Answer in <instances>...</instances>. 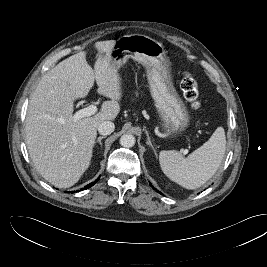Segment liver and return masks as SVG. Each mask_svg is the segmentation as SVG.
Returning <instances> with one entry per match:
<instances>
[{
    "mask_svg": "<svg viewBox=\"0 0 267 267\" xmlns=\"http://www.w3.org/2000/svg\"><path fill=\"white\" fill-rule=\"evenodd\" d=\"M114 40L95 44L94 70L86 53L68 57L49 70L31 95L26 117V144L39 174L58 188H69L88 169L98 126L114 120L122 97L121 77L108 52ZM97 93L110 98L92 117L73 119L74 101L85 98L94 82Z\"/></svg>",
    "mask_w": 267,
    "mask_h": 267,
    "instance_id": "6515ba94",
    "label": "liver"
}]
</instances>
